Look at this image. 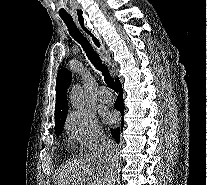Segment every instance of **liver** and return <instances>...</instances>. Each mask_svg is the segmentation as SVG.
Returning a JSON list of instances; mask_svg holds the SVG:
<instances>
[{
	"label": "liver",
	"mask_w": 207,
	"mask_h": 185,
	"mask_svg": "<svg viewBox=\"0 0 207 185\" xmlns=\"http://www.w3.org/2000/svg\"><path fill=\"white\" fill-rule=\"evenodd\" d=\"M109 153V151H108ZM100 163H102V161H100ZM78 167H82V163H79Z\"/></svg>",
	"instance_id": "liver-1"
}]
</instances>
